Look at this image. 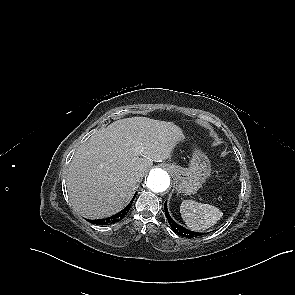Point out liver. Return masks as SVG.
Segmentation results:
<instances>
[{
    "label": "liver",
    "instance_id": "6515ba94",
    "mask_svg": "<svg viewBox=\"0 0 295 295\" xmlns=\"http://www.w3.org/2000/svg\"><path fill=\"white\" fill-rule=\"evenodd\" d=\"M182 130L172 122L147 117L117 120L81 145L66 179L70 203L90 219L113 215L131 198L136 184L153 165L170 159Z\"/></svg>",
    "mask_w": 295,
    "mask_h": 295
}]
</instances>
